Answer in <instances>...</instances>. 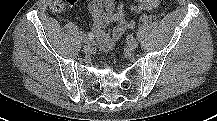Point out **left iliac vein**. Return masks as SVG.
I'll return each instance as SVG.
<instances>
[{
    "label": "left iliac vein",
    "mask_w": 217,
    "mask_h": 121,
    "mask_svg": "<svg viewBox=\"0 0 217 121\" xmlns=\"http://www.w3.org/2000/svg\"><path fill=\"white\" fill-rule=\"evenodd\" d=\"M126 46L129 50H134L138 46V41L133 37L128 38Z\"/></svg>",
    "instance_id": "1"
}]
</instances>
